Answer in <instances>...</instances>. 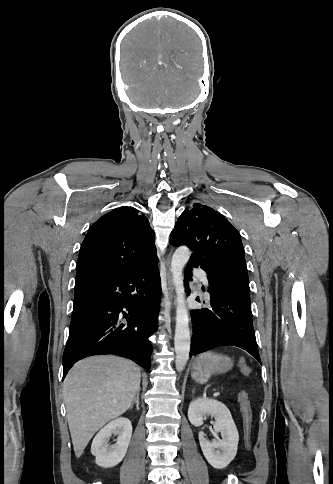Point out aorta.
I'll return each mask as SVG.
<instances>
[{
  "instance_id": "obj_1",
  "label": "aorta",
  "mask_w": 333,
  "mask_h": 484,
  "mask_svg": "<svg viewBox=\"0 0 333 484\" xmlns=\"http://www.w3.org/2000/svg\"><path fill=\"white\" fill-rule=\"evenodd\" d=\"M190 257V250L187 246H180L173 254L171 261V273L173 277V284L176 292V326H175V366L181 372L189 359L190 352V330H189V316L186 309L185 290L183 284V268Z\"/></svg>"
}]
</instances>
